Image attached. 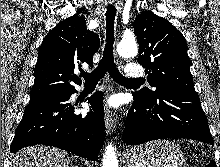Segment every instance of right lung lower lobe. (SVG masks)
I'll return each instance as SVG.
<instances>
[{
	"label": "right lung lower lobe",
	"mask_w": 220,
	"mask_h": 167,
	"mask_svg": "<svg viewBox=\"0 0 220 167\" xmlns=\"http://www.w3.org/2000/svg\"><path fill=\"white\" fill-rule=\"evenodd\" d=\"M75 88L31 97L16 129L10 152L26 146L44 144L64 149L88 160H97L104 143L102 92L88 98L92 110L74 114L68 102Z\"/></svg>",
	"instance_id": "obj_1"
}]
</instances>
